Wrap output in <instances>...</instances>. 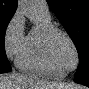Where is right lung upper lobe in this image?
I'll return each instance as SVG.
<instances>
[{"label": "right lung upper lobe", "instance_id": "obj_1", "mask_svg": "<svg viewBox=\"0 0 89 89\" xmlns=\"http://www.w3.org/2000/svg\"><path fill=\"white\" fill-rule=\"evenodd\" d=\"M17 9V0H0V14L14 15Z\"/></svg>", "mask_w": 89, "mask_h": 89}]
</instances>
